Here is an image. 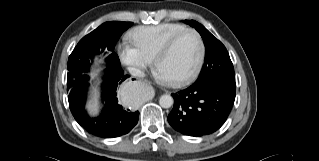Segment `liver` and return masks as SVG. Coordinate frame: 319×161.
Listing matches in <instances>:
<instances>
[{
  "mask_svg": "<svg viewBox=\"0 0 319 161\" xmlns=\"http://www.w3.org/2000/svg\"><path fill=\"white\" fill-rule=\"evenodd\" d=\"M99 73V70H96L95 72H93L91 74V78L95 79L97 78ZM98 85L99 82L95 85V87H92V91H91V97L87 103V109L89 110L90 114L92 115H96L98 113L99 110V103H98Z\"/></svg>",
  "mask_w": 319,
  "mask_h": 161,
  "instance_id": "obj_1",
  "label": "liver"
}]
</instances>
